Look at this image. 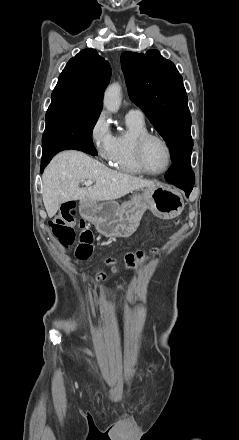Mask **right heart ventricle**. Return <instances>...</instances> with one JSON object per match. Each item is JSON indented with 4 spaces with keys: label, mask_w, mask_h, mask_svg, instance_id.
<instances>
[{
    "label": "right heart ventricle",
    "mask_w": 239,
    "mask_h": 440,
    "mask_svg": "<svg viewBox=\"0 0 239 440\" xmlns=\"http://www.w3.org/2000/svg\"><path fill=\"white\" fill-rule=\"evenodd\" d=\"M128 130L115 136V152L110 160L111 165L124 173L141 175L144 172L139 168L134 155L135 138L148 131L144 120L127 117Z\"/></svg>",
    "instance_id": "obj_1"
}]
</instances>
